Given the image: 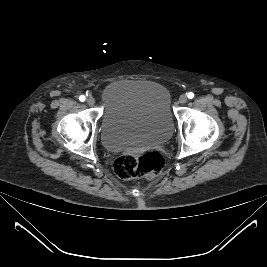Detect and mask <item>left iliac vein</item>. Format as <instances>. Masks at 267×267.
<instances>
[{
  "label": "left iliac vein",
  "instance_id": "4c4485c4",
  "mask_svg": "<svg viewBox=\"0 0 267 267\" xmlns=\"http://www.w3.org/2000/svg\"><path fill=\"white\" fill-rule=\"evenodd\" d=\"M179 102L181 104H185L187 102V95L186 94H182L180 97H179Z\"/></svg>",
  "mask_w": 267,
  "mask_h": 267
}]
</instances>
